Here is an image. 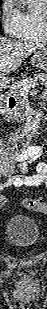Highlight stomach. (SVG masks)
I'll return each instance as SVG.
<instances>
[{
    "instance_id": "stomach-1",
    "label": "stomach",
    "mask_w": 47,
    "mask_h": 309,
    "mask_svg": "<svg viewBox=\"0 0 47 309\" xmlns=\"http://www.w3.org/2000/svg\"><path fill=\"white\" fill-rule=\"evenodd\" d=\"M31 65L47 71V47L37 50L31 57Z\"/></svg>"
}]
</instances>
